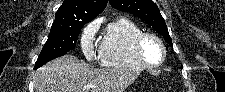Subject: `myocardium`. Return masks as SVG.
<instances>
[{
    "mask_svg": "<svg viewBox=\"0 0 225 92\" xmlns=\"http://www.w3.org/2000/svg\"><path fill=\"white\" fill-rule=\"evenodd\" d=\"M147 39L154 40L161 48L162 56H161V59L157 63L148 62L143 55L142 46ZM132 48H133V52H134L137 60L139 61V63L142 66H145L147 68H152V69L158 68L165 61L166 47H165L163 41L155 34H152V33H149V32L140 33L133 40Z\"/></svg>",
    "mask_w": 225,
    "mask_h": 92,
    "instance_id": "obj_1",
    "label": "myocardium"
}]
</instances>
